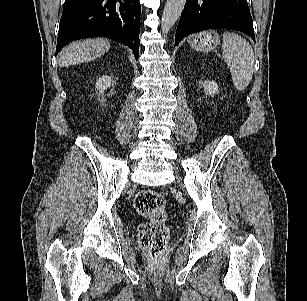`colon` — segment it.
<instances>
[{
    "mask_svg": "<svg viewBox=\"0 0 307 301\" xmlns=\"http://www.w3.org/2000/svg\"><path fill=\"white\" fill-rule=\"evenodd\" d=\"M135 210L146 219L137 229L141 248L156 257L166 249L169 239L166 202L164 197L152 189L140 190L134 198Z\"/></svg>",
    "mask_w": 307,
    "mask_h": 301,
    "instance_id": "colon-1",
    "label": "colon"
}]
</instances>
